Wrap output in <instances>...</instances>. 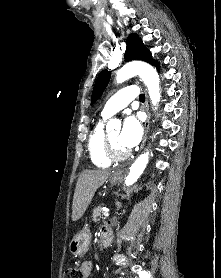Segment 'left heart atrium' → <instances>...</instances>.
<instances>
[{
	"label": "left heart atrium",
	"mask_w": 221,
	"mask_h": 278,
	"mask_svg": "<svg viewBox=\"0 0 221 278\" xmlns=\"http://www.w3.org/2000/svg\"><path fill=\"white\" fill-rule=\"evenodd\" d=\"M142 136V127L137 117L128 116L119 135V142L126 149L138 144Z\"/></svg>",
	"instance_id": "left-heart-atrium-1"
}]
</instances>
